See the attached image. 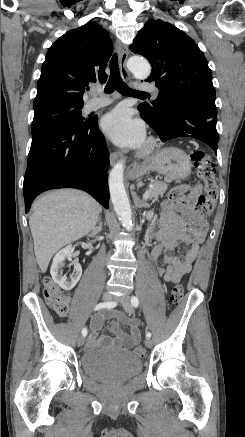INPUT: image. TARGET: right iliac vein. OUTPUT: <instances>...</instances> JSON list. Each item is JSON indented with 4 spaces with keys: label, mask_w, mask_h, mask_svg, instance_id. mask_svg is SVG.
Segmentation results:
<instances>
[{
    "label": "right iliac vein",
    "mask_w": 245,
    "mask_h": 437,
    "mask_svg": "<svg viewBox=\"0 0 245 437\" xmlns=\"http://www.w3.org/2000/svg\"><path fill=\"white\" fill-rule=\"evenodd\" d=\"M112 297H113V295L111 292H105L102 295V300L107 302V301H110L112 299ZM84 343H85V336L82 335L78 338V345L83 346Z\"/></svg>",
    "instance_id": "63e3f726"
}]
</instances>
